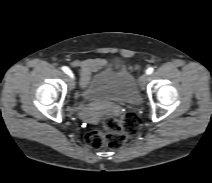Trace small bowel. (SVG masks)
Returning a JSON list of instances; mask_svg holds the SVG:
<instances>
[{
	"mask_svg": "<svg viewBox=\"0 0 212 183\" xmlns=\"http://www.w3.org/2000/svg\"><path fill=\"white\" fill-rule=\"evenodd\" d=\"M72 65L78 68L80 72V84L85 87L90 81L92 74L106 65V61L101 58H92L86 60H75Z\"/></svg>",
	"mask_w": 212,
	"mask_h": 183,
	"instance_id": "1",
	"label": "small bowel"
}]
</instances>
